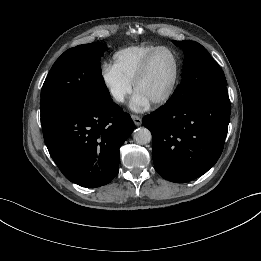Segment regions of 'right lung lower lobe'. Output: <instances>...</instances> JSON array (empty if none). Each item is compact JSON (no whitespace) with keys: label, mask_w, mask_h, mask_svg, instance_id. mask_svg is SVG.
<instances>
[{"label":"right lung lower lobe","mask_w":261,"mask_h":261,"mask_svg":"<svg viewBox=\"0 0 261 261\" xmlns=\"http://www.w3.org/2000/svg\"><path fill=\"white\" fill-rule=\"evenodd\" d=\"M42 128L48 151L63 175L93 188L108 184L118 174L119 149L134 124L111 100L105 106L69 112Z\"/></svg>","instance_id":"right-lung-lower-lobe-1"}]
</instances>
